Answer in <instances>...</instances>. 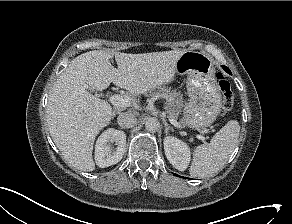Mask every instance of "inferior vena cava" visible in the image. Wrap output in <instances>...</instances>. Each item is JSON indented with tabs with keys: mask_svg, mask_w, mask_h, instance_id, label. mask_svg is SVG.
<instances>
[{
	"mask_svg": "<svg viewBox=\"0 0 292 224\" xmlns=\"http://www.w3.org/2000/svg\"><path fill=\"white\" fill-rule=\"evenodd\" d=\"M117 121L122 128H132L137 123L135 115L128 112L121 113Z\"/></svg>",
	"mask_w": 292,
	"mask_h": 224,
	"instance_id": "obj_1",
	"label": "inferior vena cava"
}]
</instances>
